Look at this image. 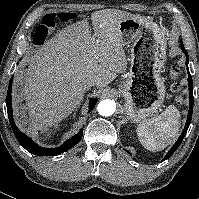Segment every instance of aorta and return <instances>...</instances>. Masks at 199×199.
<instances>
[{
	"mask_svg": "<svg viewBox=\"0 0 199 199\" xmlns=\"http://www.w3.org/2000/svg\"><path fill=\"white\" fill-rule=\"evenodd\" d=\"M116 105L112 100H103L98 104L97 110L101 116H110L115 112Z\"/></svg>",
	"mask_w": 199,
	"mask_h": 199,
	"instance_id": "obj_1",
	"label": "aorta"
}]
</instances>
